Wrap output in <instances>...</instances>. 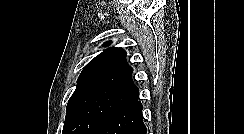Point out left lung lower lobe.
Returning <instances> with one entry per match:
<instances>
[{"instance_id": "left-lung-lower-lobe-1", "label": "left lung lower lobe", "mask_w": 244, "mask_h": 134, "mask_svg": "<svg viewBox=\"0 0 244 134\" xmlns=\"http://www.w3.org/2000/svg\"><path fill=\"white\" fill-rule=\"evenodd\" d=\"M142 109L138 98L132 100L110 115L95 134H146Z\"/></svg>"}]
</instances>
